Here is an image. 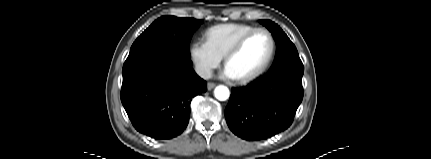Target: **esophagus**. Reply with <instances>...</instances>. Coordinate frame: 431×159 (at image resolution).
Returning <instances> with one entry per match:
<instances>
[{"mask_svg": "<svg viewBox=\"0 0 431 159\" xmlns=\"http://www.w3.org/2000/svg\"><path fill=\"white\" fill-rule=\"evenodd\" d=\"M215 86H216V84H215V83L209 82V83L207 84V89H208V90H212Z\"/></svg>", "mask_w": 431, "mask_h": 159, "instance_id": "obj_1", "label": "esophagus"}]
</instances>
